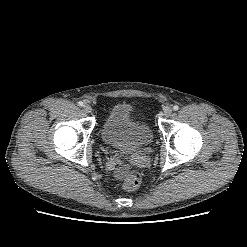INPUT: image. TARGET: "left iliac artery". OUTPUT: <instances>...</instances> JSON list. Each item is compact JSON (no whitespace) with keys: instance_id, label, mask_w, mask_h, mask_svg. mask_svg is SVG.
Wrapping results in <instances>:
<instances>
[{"instance_id":"obj_1","label":"left iliac artery","mask_w":247,"mask_h":247,"mask_svg":"<svg viewBox=\"0 0 247 247\" xmlns=\"http://www.w3.org/2000/svg\"><path fill=\"white\" fill-rule=\"evenodd\" d=\"M179 109V106H177V105H175L174 107H173V110L174 111H177Z\"/></svg>"}]
</instances>
